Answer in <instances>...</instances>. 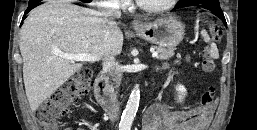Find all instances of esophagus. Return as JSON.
Returning <instances> with one entry per match:
<instances>
[{
	"instance_id": "34e87169",
	"label": "esophagus",
	"mask_w": 257,
	"mask_h": 130,
	"mask_svg": "<svg viewBox=\"0 0 257 130\" xmlns=\"http://www.w3.org/2000/svg\"><path fill=\"white\" fill-rule=\"evenodd\" d=\"M133 28H139L143 25L142 21L140 19H134L131 23Z\"/></svg>"
}]
</instances>
